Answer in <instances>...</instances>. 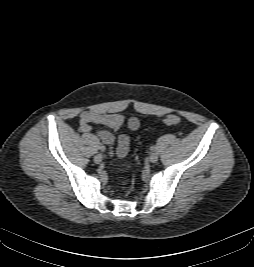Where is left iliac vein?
<instances>
[{"label":"left iliac vein","mask_w":254,"mask_h":267,"mask_svg":"<svg viewBox=\"0 0 254 267\" xmlns=\"http://www.w3.org/2000/svg\"><path fill=\"white\" fill-rule=\"evenodd\" d=\"M158 154L157 153H152L150 156H149V161L151 163H156L158 161Z\"/></svg>","instance_id":"obj_1"}]
</instances>
